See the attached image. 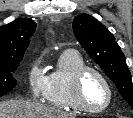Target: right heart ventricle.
<instances>
[{
    "label": "right heart ventricle",
    "instance_id": "right-heart-ventricle-1",
    "mask_svg": "<svg viewBox=\"0 0 133 118\" xmlns=\"http://www.w3.org/2000/svg\"><path fill=\"white\" fill-rule=\"evenodd\" d=\"M86 66L82 55L76 50H65L47 76L45 98L50 105L68 110H80L73 97V81L76 73Z\"/></svg>",
    "mask_w": 133,
    "mask_h": 118
}]
</instances>
